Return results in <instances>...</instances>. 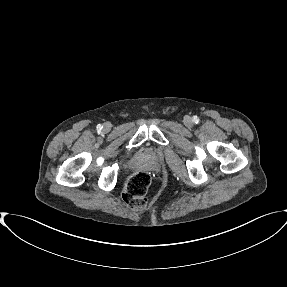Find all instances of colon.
<instances>
[{
  "mask_svg": "<svg viewBox=\"0 0 287 287\" xmlns=\"http://www.w3.org/2000/svg\"><path fill=\"white\" fill-rule=\"evenodd\" d=\"M149 184L150 177L144 171L135 172L127 179L124 186L123 199L130 208L139 210L146 207Z\"/></svg>",
  "mask_w": 287,
  "mask_h": 287,
  "instance_id": "5ec220e1",
  "label": "colon"
}]
</instances>
